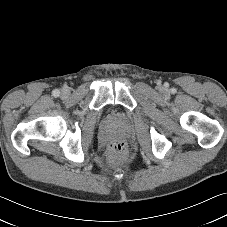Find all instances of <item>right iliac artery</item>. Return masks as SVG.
Returning a JSON list of instances; mask_svg holds the SVG:
<instances>
[{
  "label": "right iliac artery",
  "instance_id": "right-iliac-artery-1",
  "mask_svg": "<svg viewBox=\"0 0 227 227\" xmlns=\"http://www.w3.org/2000/svg\"><path fill=\"white\" fill-rule=\"evenodd\" d=\"M54 97H58L60 95V91L58 89L53 90L52 92Z\"/></svg>",
  "mask_w": 227,
  "mask_h": 227
}]
</instances>
